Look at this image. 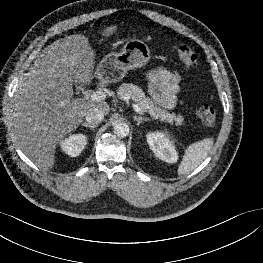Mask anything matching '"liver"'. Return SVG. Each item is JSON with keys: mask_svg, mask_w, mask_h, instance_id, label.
Listing matches in <instances>:
<instances>
[{"mask_svg": "<svg viewBox=\"0 0 263 263\" xmlns=\"http://www.w3.org/2000/svg\"><path fill=\"white\" fill-rule=\"evenodd\" d=\"M117 26L102 35L109 37ZM95 51L88 38L70 35L47 46L17 86L9 115L14 139L36 166L48 171L55 150L82 122L86 112L98 107L109 113L105 101L73 98L74 80L88 85L95 77Z\"/></svg>", "mask_w": 263, "mask_h": 263, "instance_id": "1", "label": "liver"}]
</instances>
